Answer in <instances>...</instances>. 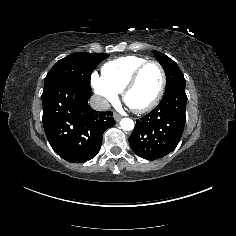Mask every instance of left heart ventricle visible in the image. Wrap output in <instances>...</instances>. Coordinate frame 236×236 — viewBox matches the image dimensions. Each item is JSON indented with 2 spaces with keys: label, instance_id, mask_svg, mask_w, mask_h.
<instances>
[{
  "label": "left heart ventricle",
  "instance_id": "b2bd125f",
  "mask_svg": "<svg viewBox=\"0 0 236 236\" xmlns=\"http://www.w3.org/2000/svg\"><path fill=\"white\" fill-rule=\"evenodd\" d=\"M161 82V73L156 65H148L140 74L136 84L127 95L132 107H143L156 96Z\"/></svg>",
  "mask_w": 236,
  "mask_h": 236
}]
</instances>
